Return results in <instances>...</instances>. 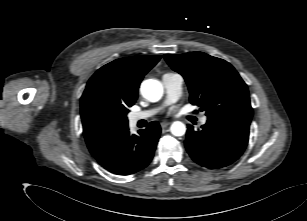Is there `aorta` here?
Instances as JSON below:
<instances>
[{
  "label": "aorta",
  "mask_w": 307,
  "mask_h": 221,
  "mask_svg": "<svg viewBox=\"0 0 307 221\" xmlns=\"http://www.w3.org/2000/svg\"><path fill=\"white\" fill-rule=\"evenodd\" d=\"M140 91L142 96L150 102H157L163 96V86L155 79H147L143 81ZM170 131L174 136H182L186 132V126L180 121H175L172 123Z\"/></svg>",
  "instance_id": "obj_1"
}]
</instances>
